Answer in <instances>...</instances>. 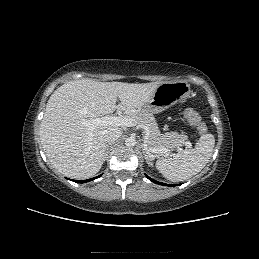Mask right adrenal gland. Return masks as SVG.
Returning a JSON list of instances; mask_svg holds the SVG:
<instances>
[{"label": "right adrenal gland", "instance_id": "1", "mask_svg": "<svg viewBox=\"0 0 259 259\" xmlns=\"http://www.w3.org/2000/svg\"><path fill=\"white\" fill-rule=\"evenodd\" d=\"M111 145V143H109V144H107L106 145V151H105V158L107 157V154H108V148H109V146Z\"/></svg>", "mask_w": 259, "mask_h": 259}]
</instances>
